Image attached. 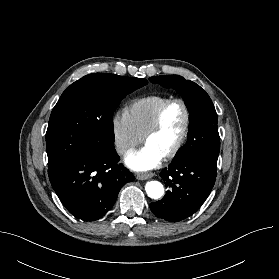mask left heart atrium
I'll return each instance as SVG.
<instances>
[{
	"instance_id": "1",
	"label": "left heart atrium",
	"mask_w": 279,
	"mask_h": 279,
	"mask_svg": "<svg viewBox=\"0 0 279 279\" xmlns=\"http://www.w3.org/2000/svg\"><path fill=\"white\" fill-rule=\"evenodd\" d=\"M163 156L149 145H145L138 151L129 154L126 164L133 170L144 171L156 167Z\"/></svg>"
}]
</instances>
